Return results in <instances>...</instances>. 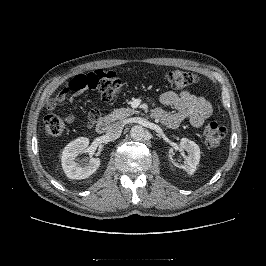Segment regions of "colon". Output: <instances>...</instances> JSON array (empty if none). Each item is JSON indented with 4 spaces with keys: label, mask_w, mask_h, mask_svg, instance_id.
Instances as JSON below:
<instances>
[{
    "label": "colon",
    "mask_w": 266,
    "mask_h": 266,
    "mask_svg": "<svg viewBox=\"0 0 266 266\" xmlns=\"http://www.w3.org/2000/svg\"><path fill=\"white\" fill-rule=\"evenodd\" d=\"M167 83L172 89H184L201 82V78L191 72L181 69L170 70L166 75ZM96 89L100 99L104 102L115 101L123 90V82L113 71L96 70L82 73L73 77L59 93L55 100L48 105L44 117L45 132L50 137L60 136L66 127L62 117L57 115L54 106L64 101L71 91ZM92 119L100 116V110L94 108L91 111ZM226 136V128L217 122H210L204 129V143L207 147L219 146Z\"/></svg>",
    "instance_id": "colon-1"
}]
</instances>
